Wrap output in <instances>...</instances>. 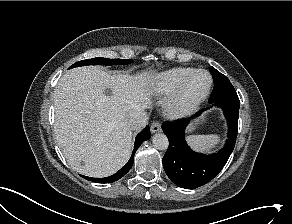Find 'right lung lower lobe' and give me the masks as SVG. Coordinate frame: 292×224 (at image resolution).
Here are the masks:
<instances>
[{"mask_svg":"<svg viewBox=\"0 0 292 224\" xmlns=\"http://www.w3.org/2000/svg\"><path fill=\"white\" fill-rule=\"evenodd\" d=\"M151 137V133H150V128L149 126H146L137 136L135 139V145H134V149L132 152V156L129 159V161L127 162V164L125 166H123L117 173H115L114 175H111L109 177H105V178H92V177H87V176H82L83 178L89 180V181H93L96 183H112L115 182L117 180H119L120 178H122L132 167L133 165V161H134V155L136 150L139 148V146L146 140L150 139Z\"/></svg>","mask_w":292,"mask_h":224,"instance_id":"right-lung-lower-lobe-1","label":"right lung lower lobe"}]
</instances>
